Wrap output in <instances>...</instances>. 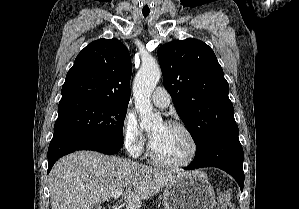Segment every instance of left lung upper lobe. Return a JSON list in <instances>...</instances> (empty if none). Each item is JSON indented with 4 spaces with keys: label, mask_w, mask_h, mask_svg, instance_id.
Here are the masks:
<instances>
[{
    "label": "left lung upper lobe",
    "mask_w": 299,
    "mask_h": 209,
    "mask_svg": "<svg viewBox=\"0 0 299 209\" xmlns=\"http://www.w3.org/2000/svg\"><path fill=\"white\" fill-rule=\"evenodd\" d=\"M158 57L165 88L195 141L197 157L216 136L237 126L228 82L213 50L200 40L164 44Z\"/></svg>",
    "instance_id": "5c2ea615"
}]
</instances>
